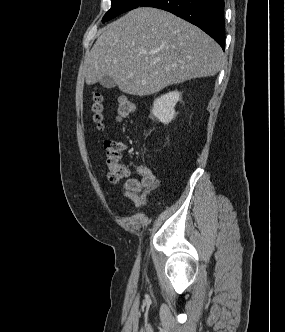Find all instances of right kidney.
I'll return each mask as SVG.
<instances>
[{
  "label": "right kidney",
  "instance_id": "obj_1",
  "mask_svg": "<svg viewBox=\"0 0 285 332\" xmlns=\"http://www.w3.org/2000/svg\"><path fill=\"white\" fill-rule=\"evenodd\" d=\"M178 91L169 92L153 103L152 114L162 123L168 124L175 117V105L180 100Z\"/></svg>",
  "mask_w": 285,
  "mask_h": 332
}]
</instances>
